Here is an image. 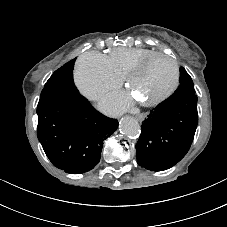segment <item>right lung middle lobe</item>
I'll list each match as a JSON object with an SVG mask.
<instances>
[{
    "label": "right lung middle lobe",
    "instance_id": "1",
    "mask_svg": "<svg viewBox=\"0 0 227 227\" xmlns=\"http://www.w3.org/2000/svg\"><path fill=\"white\" fill-rule=\"evenodd\" d=\"M74 62L75 59L67 62L51 75L41 92V97L48 95L62 97L64 95L79 94L73 81Z\"/></svg>",
    "mask_w": 227,
    "mask_h": 227
}]
</instances>
